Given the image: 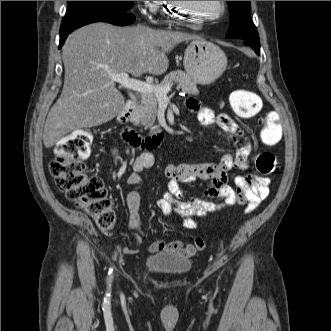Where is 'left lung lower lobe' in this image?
<instances>
[{
    "label": "left lung lower lobe",
    "mask_w": 331,
    "mask_h": 331,
    "mask_svg": "<svg viewBox=\"0 0 331 331\" xmlns=\"http://www.w3.org/2000/svg\"><path fill=\"white\" fill-rule=\"evenodd\" d=\"M244 44L250 45L252 48H254L256 54L260 55V42L258 39H251V40H242Z\"/></svg>",
    "instance_id": "1"
}]
</instances>
